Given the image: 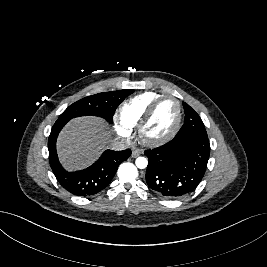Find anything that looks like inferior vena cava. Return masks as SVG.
Returning <instances> with one entry per match:
<instances>
[{
    "label": "inferior vena cava",
    "mask_w": 267,
    "mask_h": 267,
    "mask_svg": "<svg viewBox=\"0 0 267 267\" xmlns=\"http://www.w3.org/2000/svg\"><path fill=\"white\" fill-rule=\"evenodd\" d=\"M130 145V142L126 139L116 138L112 141L111 146L114 150H124L127 149Z\"/></svg>",
    "instance_id": "obj_1"
}]
</instances>
